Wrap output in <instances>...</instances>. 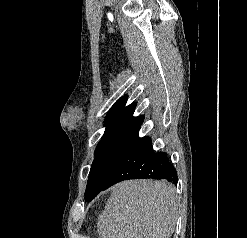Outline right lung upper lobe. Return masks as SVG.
<instances>
[{"mask_svg": "<svg viewBox=\"0 0 247 238\" xmlns=\"http://www.w3.org/2000/svg\"><path fill=\"white\" fill-rule=\"evenodd\" d=\"M126 101L127 96H124L113 105L105 118L104 124L106 126L127 121H143V116H133L136 104L132 103L131 105L125 107Z\"/></svg>", "mask_w": 247, "mask_h": 238, "instance_id": "cb5924a9", "label": "right lung upper lobe"}]
</instances>
